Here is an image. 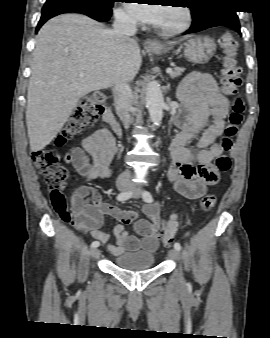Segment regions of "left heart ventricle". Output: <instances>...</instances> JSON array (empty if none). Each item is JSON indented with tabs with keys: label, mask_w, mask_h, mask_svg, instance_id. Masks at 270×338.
<instances>
[{
	"label": "left heart ventricle",
	"mask_w": 270,
	"mask_h": 338,
	"mask_svg": "<svg viewBox=\"0 0 270 338\" xmlns=\"http://www.w3.org/2000/svg\"><path fill=\"white\" fill-rule=\"evenodd\" d=\"M182 14L176 7L166 8L161 16L160 21L156 24L157 27H172L181 22Z\"/></svg>",
	"instance_id": "obj_1"
}]
</instances>
